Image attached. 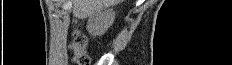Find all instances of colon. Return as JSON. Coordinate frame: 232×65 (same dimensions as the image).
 <instances>
[{"label":"colon","instance_id":"1","mask_svg":"<svg viewBox=\"0 0 232 65\" xmlns=\"http://www.w3.org/2000/svg\"><path fill=\"white\" fill-rule=\"evenodd\" d=\"M87 39L80 32H75L70 43L73 52V62L77 65H89L90 59L86 54Z\"/></svg>","mask_w":232,"mask_h":65}]
</instances>
